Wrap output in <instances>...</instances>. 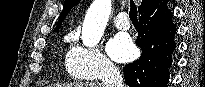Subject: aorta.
I'll list each match as a JSON object with an SVG mask.
<instances>
[{"label": "aorta", "instance_id": "1", "mask_svg": "<svg viewBox=\"0 0 205 87\" xmlns=\"http://www.w3.org/2000/svg\"><path fill=\"white\" fill-rule=\"evenodd\" d=\"M111 0H94L88 9L82 29V42L86 47L96 46L104 33L110 13Z\"/></svg>", "mask_w": 205, "mask_h": 87}]
</instances>
